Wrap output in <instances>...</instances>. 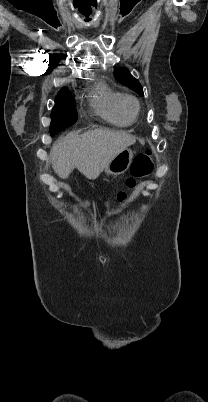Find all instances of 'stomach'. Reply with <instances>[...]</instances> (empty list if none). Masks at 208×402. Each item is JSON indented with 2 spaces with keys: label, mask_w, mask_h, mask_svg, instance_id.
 Returning a JSON list of instances; mask_svg holds the SVG:
<instances>
[{
  "label": "stomach",
  "mask_w": 208,
  "mask_h": 402,
  "mask_svg": "<svg viewBox=\"0 0 208 402\" xmlns=\"http://www.w3.org/2000/svg\"><path fill=\"white\" fill-rule=\"evenodd\" d=\"M133 158L132 150L125 148L120 154L114 156L111 162H109L107 168H104L105 174H112V176H120L128 170Z\"/></svg>",
  "instance_id": "1"
}]
</instances>
